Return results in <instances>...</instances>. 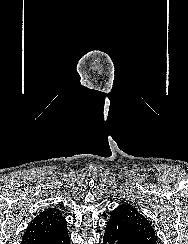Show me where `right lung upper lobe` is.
Here are the masks:
<instances>
[{"mask_svg": "<svg viewBox=\"0 0 188 244\" xmlns=\"http://www.w3.org/2000/svg\"><path fill=\"white\" fill-rule=\"evenodd\" d=\"M67 227V222L56 208H49L38 214L28 225L21 244L40 239L61 228Z\"/></svg>", "mask_w": 188, "mask_h": 244, "instance_id": "1", "label": "right lung upper lobe"}]
</instances>
